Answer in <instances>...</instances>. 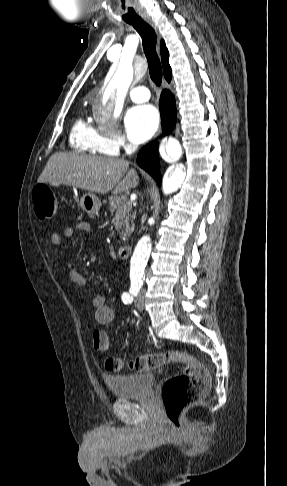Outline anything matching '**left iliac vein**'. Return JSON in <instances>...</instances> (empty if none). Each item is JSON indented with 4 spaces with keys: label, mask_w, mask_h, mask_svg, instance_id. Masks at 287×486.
<instances>
[{
    "label": "left iliac vein",
    "mask_w": 287,
    "mask_h": 486,
    "mask_svg": "<svg viewBox=\"0 0 287 486\" xmlns=\"http://www.w3.org/2000/svg\"><path fill=\"white\" fill-rule=\"evenodd\" d=\"M144 292H140L138 296L135 297L134 303L137 309L142 310L144 308Z\"/></svg>",
    "instance_id": "4c4485c4"
}]
</instances>
